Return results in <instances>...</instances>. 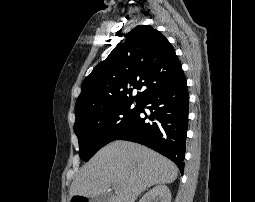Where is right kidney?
<instances>
[{"instance_id": "ca27d5eb", "label": "right kidney", "mask_w": 255, "mask_h": 202, "mask_svg": "<svg viewBox=\"0 0 255 202\" xmlns=\"http://www.w3.org/2000/svg\"><path fill=\"white\" fill-rule=\"evenodd\" d=\"M171 202V192L166 185H158L148 191L139 202Z\"/></svg>"}]
</instances>
